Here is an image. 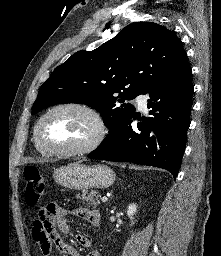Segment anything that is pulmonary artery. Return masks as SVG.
I'll return each mask as SVG.
<instances>
[{"mask_svg":"<svg viewBox=\"0 0 221 256\" xmlns=\"http://www.w3.org/2000/svg\"><path fill=\"white\" fill-rule=\"evenodd\" d=\"M147 96L146 95H139L137 98H136V101L138 103V106L140 109L142 110H145L146 107H147Z\"/></svg>","mask_w":221,"mask_h":256,"instance_id":"e3ab8cb5","label":"pulmonary artery"}]
</instances>
